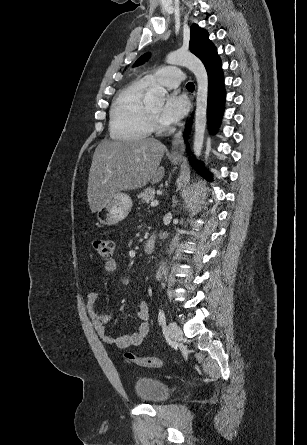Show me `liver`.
Segmentation results:
<instances>
[{"mask_svg":"<svg viewBox=\"0 0 307 445\" xmlns=\"http://www.w3.org/2000/svg\"><path fill=\"white\" fill-rule=\"evenodd\" d=\"M165 150V144L156 138H103L95 148L88 176L87 198L92 212H97L114 192L162 180L164 166L159 164Z\"/></svg>","mask_w":307,"mask_h":445,"instance_id":"1","label":"liver"}]
</instances>
